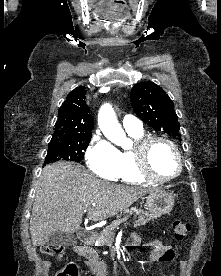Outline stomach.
<instances>
[{"instance_id":"0dacf381","label":"stomach","mask_w":221,"mask_h":276,"mask_svg":"<svg viewBox=\"0 0 221 276\" xmlns=\"http://www.w3.org/2000/svg\"><path fill=\"white\" fill-rule=\"evenodd\" d=\"M173 205V195L163 190L152 191L146 197V209L153 214L163 215L169 213Z\"/></svg>"}]
</instances>
